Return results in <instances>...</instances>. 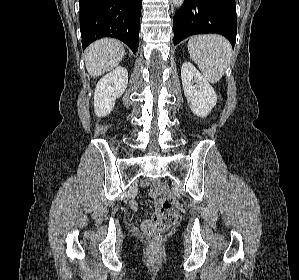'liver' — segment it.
Here are the masks:
<instances>
[{
    "label": "liver",
    "instance_id": "6515ba94",
    "mask_svg": "<svg viewBox=\"0 0 299 280\" xmlns=\"http://www.w3.org/2000/svg\"><path fill=\"white\" fill-rule=\"evenodd\" d=\"M125 55L123 45L114 39H101L85 50L86 69L92 77H98L118 66Z\"/></svg>",
    "mask_w": 299,
    "mask_h": 280
}]
</instances>
